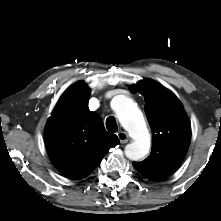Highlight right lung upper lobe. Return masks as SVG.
I'll list each match as a JSON object with an SVG mask.
<instances>
[{
  "instance_id": "cb5924a9",
  "label": "right lung upper lobe",
  "mask_w": 221,
  "mask_h": 221,
  "mask_svg": "<svg viewBox=\"0 0 221 221\" xmlns=\"http://www.w3.org/2000/svg\"><path fill=\"white\" fill-rule=\"evenodd\" d=\"M90 91L83 81L60 97L45 126V144L53 165L66 177H86L109 149L119 143L108 133L101 117L88 108Z\"/></svg>"
}]
</instances>
